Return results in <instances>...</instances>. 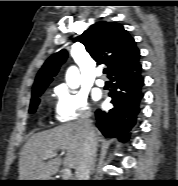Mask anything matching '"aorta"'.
I'll return each mask as SVG.
<instances>
[{"instance_id":"obj_1","label":"aorta","mask_w":178,"mask_h":186,"mask_svg":"<svg viewBox=\"0 0 178 186\" xmlns=\"http://www.w3.org/2000/svg\"><path fill=\"white\" fill-rule=\"evenodd\" d=\"M66 83L71 88H77L80 84V74L77 67L72 66L66 72Z\"/></svg>"}]
</instances>
